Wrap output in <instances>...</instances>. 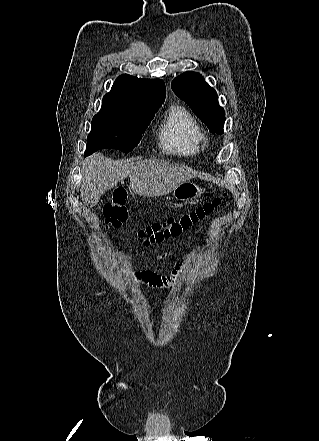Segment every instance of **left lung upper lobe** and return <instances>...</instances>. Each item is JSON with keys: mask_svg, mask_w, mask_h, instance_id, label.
<instances>
[{"mask_svg": "<svg viewBox=\"0 0 319 441\" xmlns=\"http://www.w3.org/2000/svg\"><path fill=\"white\" fill-rule=\"evenodd\" d=\"M175 94L182 99L196 116L206 124L211 133L222 134L225 112L219 106L216 91L196 72H186L171 84Z\"/></svg>", "mask_w": 319, "mask_h": 441, "instance_id": "5c2ea615", "label": "left lung upper lobe"}]
</instances>
